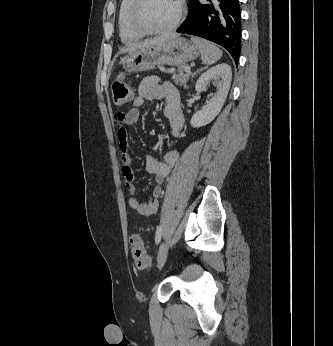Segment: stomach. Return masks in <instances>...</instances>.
Instances as JSON below:
<instances>
[{"instance_id":"0dacf381","label":"stomach","mask_w":333,"mask_h":346,"mask_svg":"<svg viewBox=\"0 0 333 346\" xmlns=\"http://www.w3.org/2000/svg\"><path fill=\"white\" fill-rule=\"evenodd\" d=\"M200 55L199 47L181 37L164 43L128 52L122 59L123 69L129 73L149 71L163 65L182 66Z\"/></svg>"}]
</instances>
